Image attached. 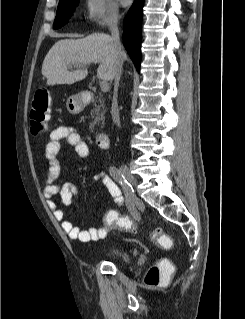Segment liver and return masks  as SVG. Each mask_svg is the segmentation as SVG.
<instances>
[{
    "label": "liver",
    "instance_id": "liver-1",
    "mask_svg": "<svg viewBox=\"0 0 245 319\" xmlns=\"http://www.w3.org/2000/svg\"><path fill=\"white\" fill-rule=\"evenodd\" d=\"M122 61L126 60L123 51ZM117 56L112 38L103 33L91 34L83 39H63L57 41L47 53L42 64V75L47 85H71L83 80L87 70L68 71L69 65L99 64L97 77L112 81L114 78Z\"/></svg>",
    "mask_w": 245,
    "mask_h": 319
}]
</instances>
